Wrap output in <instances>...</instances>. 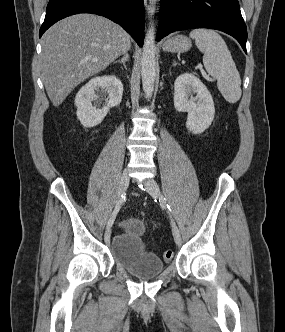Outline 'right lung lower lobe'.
Listing matches in <instances>:
<instances>
[{"mask_svg":"<svg viewBox=\"0 0 285 332\" xmlns=\"http://www.w3.org/2000/svg\"><path fill=\"white\" fill-rule=\"evenodd\" d=\"M77 13H93L121 25L138 43L144 39L143 0H50L39 37L57 21Z\"/></svg>","mask_w":285,"mask_h":332,"instance_id":"98d812e1","label":"right lung lower lobe"}]
</instances>
